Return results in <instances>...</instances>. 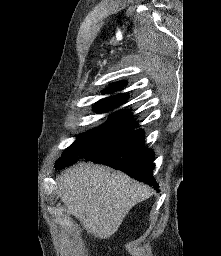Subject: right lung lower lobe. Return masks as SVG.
Returning <instances> with one entry per match:
<instances>
[{"instance_id": "right-lung-lower-lobe-1", "label": "right lung lower lobe", "mask_w": 221, "mask_h": 256, "mask_svg": "<svg viewBox=\"0 0 221 256\" xmlns=\"http://www.w3.org/2000/svg\"><path fill=\"white\" fill-rule=\"evenodd\" d=\"M84 159L121 170L154 188L159 187L152 175L154 169L153 152L145 147L142 129L129 131L118 139L98 148Z\"/></svg>"}]
</instances>
